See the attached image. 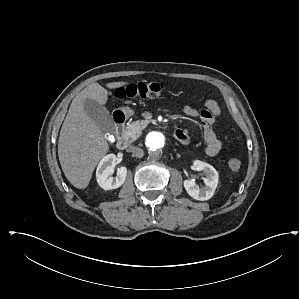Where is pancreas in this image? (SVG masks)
<instances>
[{"label":"pancreas","mask_w":299,"mask_h":299,"mask_svg":"<svg viewBox=\"0 0 299 299\" xmlns=\"http://www.w3.org/2000/svg\"><path fill=\"white\" fill-rule=\"evenodd\" d=\"M147 126V121H135L127 125L122 132V137L129 142L135 141L142 133V130Z\"/></svg>","instance_id":"obj_1"}]
</instances>
